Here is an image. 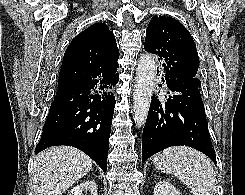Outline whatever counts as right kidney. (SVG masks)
<instances>
[{
	"mask_svg": "<svg viewBox=\"0 0 245 195\" xmlns=\"http://www.w3.org/2000/svg\"><path fill=\"white\" fill-rule=\"evenodd\" d=\"M89 191V195H98L97 185L93 180H86L77 186L73 187L67 195H84L85 192Z\"/></svg>",
	"mask_w": 245,
	"mask_h": 195,
	"instance_id": "1",
	"label": "right kidney"
}]
</instances>
